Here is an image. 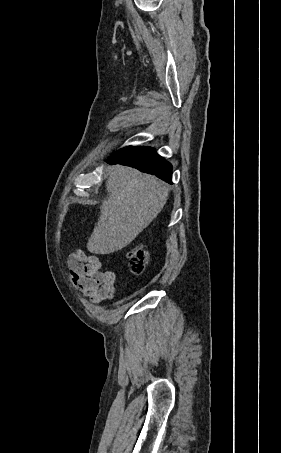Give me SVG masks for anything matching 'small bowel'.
Masks as SVG:
<instances>
[{
  "mask_svg": "<svg viewBox=\"0 0 281 453\" xmlns=\"http://www.w3.org/2000/svg\"><path fill=\"white\" fill-rule=\"evenodd\" d=\"M68 272L71 280L94 302L109 301L116 290V275L111 270H102L98 256L74 252L68 257Z\"/></svg>",
  "mask_w": 281,
  "mask_h": 453,
  "instance_id": "1",
  "label": "small bowel"
}]
</instances>
